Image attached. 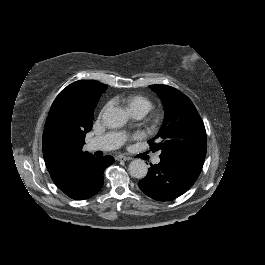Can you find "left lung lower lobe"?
<instances>
[{
  "label": "left lung lower lobe",
  "mask_w": 265,
  "mask_h": 265,
  "mask_svg": "<svg viewBox=\"0 0 265 265\" xmlns=\"http://www.w3.org/2000/svg\"><path fill=\"white\" fill-rule=\"evenodd\" d=\"M203 164L200 158H160L159 164H151L139 187L155 200H173L191 188Z\"/></svg>",
  "instance_id": "0a47b994"
}]
</instances>
